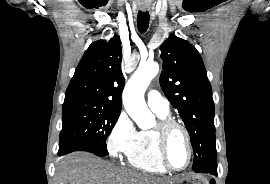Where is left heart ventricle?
Wrapping results in <instances>:
<instances>
[{"label": "left heart ventricle", "instance_id": "obj_1", "mask_svg": "<svg viewBox=\"0 0 270 184\" xmlns=\"http://www.w3.org/2000/svg\"><path fill=\"white\" fill-rule=\"evenodd\" d=\"M167 157L170 164L176 168L183 167L188 160L186 139L180 130H174L170 135Z\"/></svg>", "mask_w": 270, "mask_h": 184}]
</instances>
